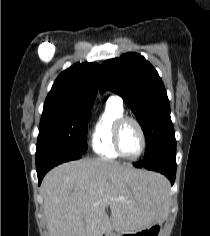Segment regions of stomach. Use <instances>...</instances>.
<instances>
[{"label":"stomach","mask_w":210,"mask_h":236,"mask_svg":"<svg viewBox=\"0 0 210 236\" xmlns=\"http://www.w3.org/2000/svg\"><path fill=\"white\" fill-rule=\"evenodd\" d=\"M161 230H162V220L158 216L156 219H154L149 225L145 226L144 228L129 232V233H123L125 236H161ZM120 236V235H116Z\"/></svg>","instance_id":"stomach-1"}]
</instances>
